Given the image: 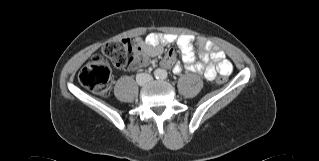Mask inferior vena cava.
<instances>
[{
	"label": "inferior vena cava",
	"instance_id": "602c4592",
	"mask_svg": "<svg viewBox=\"0 0 319 161\" xmlns=\"http://www.w3.org/2000/svg\"><path fill=\"white\" fill-rule=\"evenodd\" d=\"M152 80V76L147 73H140L136 76V81L139 85H145Z\"/></svg>",
	"mask_w": 319,
	"mask_h": 161
}]
</instances>
